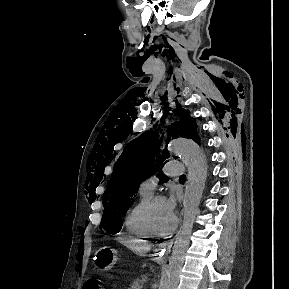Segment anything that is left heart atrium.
Returning <instances> with one entry per match:
<instances>
[{"label": "left heart atrium", "mask_w": 289, "mask_h": 289, "mask_svg": "<svg viewBox=\"0 0 289 289\" xmlns=\"http://www.w3.org/2000/svg\"><path fill=\"white\" fill-rule=\"evenodd\" d=\"M176 200L177 197L174 194H171L167 199H165L166 202V208L169 212V214L174 218V211L176 206Z\"/></svg>", "instance_id": "1"}]
</instances>
